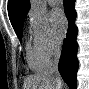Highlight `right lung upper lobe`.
Wrapping results in <instances>:
<instances>
[{
	"label": "right lung upper lobe",
	"mask_w": 89,
	"mask_h": 89,
	"mask_svg": "<svg viewBox=\"0 0 89 89\" xmlns=\"http://www.w3.org/2000/svg\"><path fill=\"white\" fill-rule=\"evenodd\" d=\"M29 9V0H8V15L14 30L24 22Z\"/></svg>",
	"instance_id": "cb5924a9"
}]
</instances>
